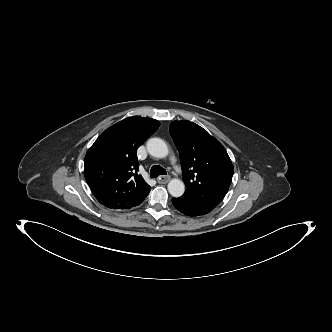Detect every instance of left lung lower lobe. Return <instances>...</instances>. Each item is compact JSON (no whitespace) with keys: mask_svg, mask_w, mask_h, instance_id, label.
<instances>
[{"mask_svg":"<svg viewBox=\"0 0 332 332\" xmlns=\"http://www.w3.org/2000/svg\"><path fill=\"white\" fill-rule=\"evenodd\" d=\"M172 203L177 210L188 216L205 215L211 211L183 197L172 198Z\"/></svg>","mask_w":332,"mask_h":332,"instance_id":"1","label":"left lung lower lobe"}]
</instances>
